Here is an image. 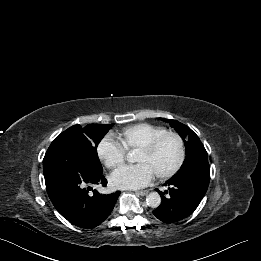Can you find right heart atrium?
<instances>
[{"label": "right heart atrium", "mask_w": 261, "mask_h": 261, "mask_svg": "<svg viewBox=\"0 0 261 261\" xmlns=\"http://www.w3.org/2000/svg\"><path fill=\"white\" fill-rule=\"evenodd\" d=\"M97 153L107 168H115L125 160L126 149L114 136H103L97 145Z\"/></svg>", "instance_id": "1"}]
</instances>
